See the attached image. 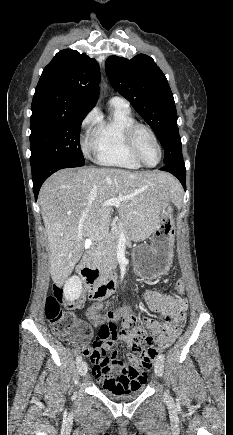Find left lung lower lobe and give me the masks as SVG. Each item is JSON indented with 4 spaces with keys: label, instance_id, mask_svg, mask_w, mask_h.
Returning a JSON list of instances; mask_svg holds the SVG:
<instances>
[{
    "label": "left lung lower lobe",
    "instance_id": "obj_1",
    "mask_svg": "<svg viewBox=\"0 0 233 435\" xmlns=\"http://www.w3.org/2000/svg\"><path fill=\"white\" fill-rule=\"evenodd\" d=\"M160 170L172 173L175 177L179 179L184 189H186V169L183 159L174 161L173 163L167 164Z\"/></svg>",
    "mask_w": 233,
    "mask_h": 435
}]
</instances>
